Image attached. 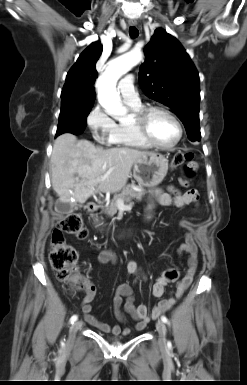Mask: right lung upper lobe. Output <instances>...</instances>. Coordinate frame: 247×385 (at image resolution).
Here are the masks:
<instances>
[{
  "mask_svg": "<svg viewBox=\"0 0 247 385\" xmlns=\"http://www.w3.org/2000/svg\"><path fill=\"white\" fill-rule=\"evenodd\" d=\"M100 42L90 44L69 70L61 92V102L75 101L94 104L93 84L97 78L96 62L102 53Z\"/></svg>",
  "mask_w": 247,
  "mask_h": 385,
  "instance_id": "obj_1",
  "label": "right lung upper lobe"
}]
</instances>
